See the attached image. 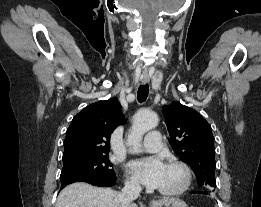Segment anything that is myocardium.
Masks as SVG:
<instances>
[{
	"label": "myocardium",
	"mask_w": 261,
	"mask_h": 207,
	"mask_svg": "<svg viewBox=\"0 0 261 207\" xmlns=\"http://www.w3.org/2000/svg\"><path fill=\"white\" fill-rule=\"evenodd\" d=\"M166 165L175 166V167L180 168L183 173V180H182V183L175 189H171V190L158 189V192L164 196H177V195L184 193L189 188L191 181H192V174H191L190 168L187 166L186 163H184L180 160H177V159L169 160L166 163Z\"/></svg>",
	"instance_id": "myocardium-1"
}]
</instances>
